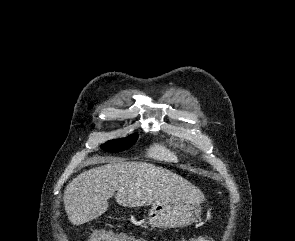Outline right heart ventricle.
<instances>
[{
  "label": "right heart ventricle",
  "instance_id": "e07e8e85",
  "mask_svg": "<svg viewBox=\"0 0 295 241\" xmlns=\"http://www.w3.org/2000/svg\"><path fill=\"white\" fill-rule=\"evenodd\" d=\"M150 154L159 159H164L167 161H177V156L173 152H170L169 150L161 146L154 147Z\"/></svg>",
  "mask_w": 295,
  "mask_h": 241
}]
</instances>
